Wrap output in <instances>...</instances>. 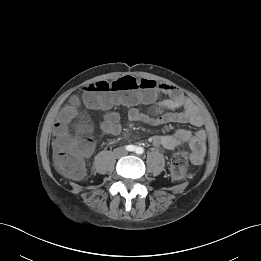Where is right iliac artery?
<instances>
[{
	"instance_id": "1",
	"label": "right iliac artery",
	"mask_w": 261,
	"mask_h": 261,
	"mask_svg": "<svg viewBox=\"0 0 261 261\" xmlns=\"http://www.w3.org/2000/svg\"><path fill=\"white\" fill-rule=\"evenodd\" d=\"M125 149H126L127 151H134V150L136 149V147L133 146V145H127V146L125 147Z\"/></svg>"
}]
</instances>
